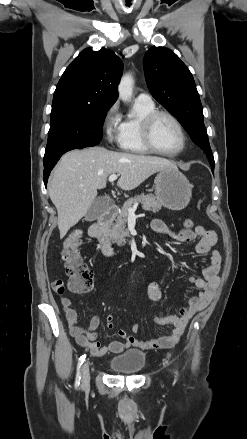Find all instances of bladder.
I'll return each mask as SVG.
<instances>
[{"label":"bladder","mask_w":247,"mask_h":439,"mask_svg":"<svg viewBox=\"0 0 247 439\" xmlns=\"http://www.w3.org/2000/svg\"><path fill=\"white\" fill-rule=\"evenodd\" d=\"M146 364V355L142 350L130 349L109 360V368L117 373L137 374Z\"/></svg>","instance_id":"obj_1"}]
</instances>
